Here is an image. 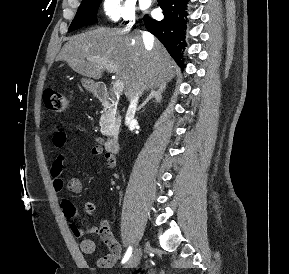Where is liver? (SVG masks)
<instances>
[{
  "mask_svg": "<svg viewBox=\"0 0 289 274\" xmlns=\"http://www.w3.org/2000/svg\"><path fill=\"white\" fill-rule=\"evenodd\" d=\"M56 61H66L75 72L93 79H100L106 64L112 63L117 68V78L124 83L128 100L146 89L166 86L177 68L158 40L145 45L138 33L109 28L68 38Z\"/></svg>",
  "mask_w": 289,
  "mask_h": 274,
  "instance_id": "6515ba94",
  "label": "liver"
}]
</instances>
